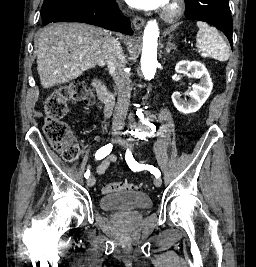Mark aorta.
<instances>
[{
    "mask_svg": "<svg viewBox=\"0 0 256 267\" xmlns=\"http://www.w3.org/2000/svg\"><path fill=\"white\" fill-rule=\"evenodd\" d=\"M159 38V28L156 20L147 22L143 34V48L141 56V70L145 77H154L157 71V46ZM144 122H154V117H138L136 127H144Z\"/></svg>",
    "mask_w": 256,
    "mask_h": 267,
    "instance_id": "obj_1",
    "label": "aorta"
}]
</instances>
